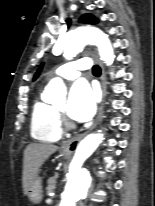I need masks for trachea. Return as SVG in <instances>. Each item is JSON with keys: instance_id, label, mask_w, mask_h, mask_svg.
<instances>
[{"instance_id": "obj_1", "label": "trachea", "mask_w": 155, "mask_h": 206, "mask_svg": "<svg viewBox=\"0 0 155 206\" xmlns=\"http://www.w3.org/2000/svg\"><path fill=\"white\" fill-rule=\"evenodd\" d=\"M93 74L99 76L101 74V69L98 65H94L92 68Z\"/></svg>"}]
</instances>
